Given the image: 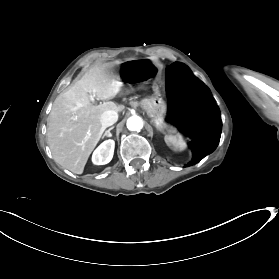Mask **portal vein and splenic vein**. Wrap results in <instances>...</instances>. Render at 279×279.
<instances>
[{"label": "portal vein and splenic vein", "mask_w": 279, "mask_h": 279, "mask_svg": "<svg viewBox=\"0 0 279 279\" xmlns=\"http://www.w3.org/2000/svg\"><path fill=\"white\" fill-rule=\"evenodd\" d=\"M90 104H91L92 106H96V104H97V101L93 98V96H91ZM101 134H102V133H101Z\"/></svg>", "instance_id": "1"}]
</instances>
